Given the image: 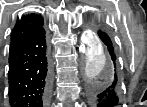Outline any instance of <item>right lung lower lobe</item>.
<instances>
[{"mask_svg":"<svg viewBox=\"0 0 147 107\" xmlns=\"http://www.w3.org/2000/svg\"><path fill=\"white\" fill-rule=\"evenodd\" d=\"M49 78L45 31L41 28L10 46V107H46Z\"/></svg>","mask_w":147,"mask_h":107,"instance_id":"obj_1","label":"right lung lower lobe"}]
</instances>
